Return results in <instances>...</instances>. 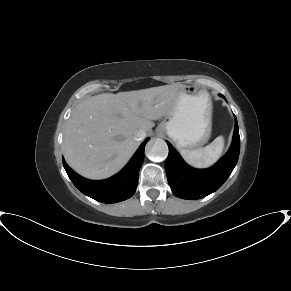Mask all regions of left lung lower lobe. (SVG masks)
Masks as SVG:
<instances>
[{
    "label": "left lung lower lobe",
    "mask_w": 291,
    "mask_h": 291,
    "mask_svg": "<svg viewBox=\"0 0 291 291\" xmlns=\"http://www.w3.org/2000/svg\"><path fill=\"white\" fill-rule=\"evenodd\" d=\"M167 144L169 155L165 161V170L172 192L183 199H200L220 188L237 164L240 152L238 123L236 120L230 150L208 169H194L188 166L173 146L169 142Z\"/></svg>",
    "instance_id": "obj_1"
}]
</instances>
